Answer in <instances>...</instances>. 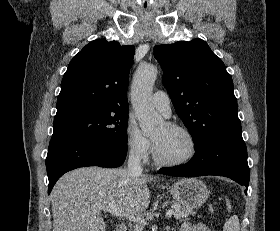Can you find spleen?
I'll list each match as a JSON object with an SVG mask.
<instances>
[{
	"instance_id": "1",
	"label": "spleen",
	"mask_w": 280,
	"mask_h": 231,
	"mask_svg": "<svg viewBox=\"0 0 280 231\" xmlns=\"http://www.w3.org/2000/svg\"><path fill=\"white\" fill-rule=\"evenodd\" d=\"M226 205L230 211L231 205L229 203V199H226ZM239 229L240 225L237 215H231L224 225V231H239Z\"/></svg>"
}]
</instances>
